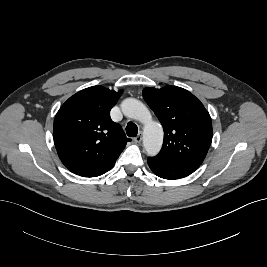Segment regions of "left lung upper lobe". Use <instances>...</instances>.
Here are the masks:
<instances>
[{"mask_svg": "<svg viewBox=\"0 0 267 267\" xmlns=\"http://www.w3.org/2000/svg\"><path fill=\"white\" fill-rule=\"evenodd\" d=\"M142 94L164 129L162 149L152 158L198 168L212 141V122L203 104L176 86L145 88Z\"/></svg>", "mask_w": 267, "mask_h": 267, "instance_id": "5c2ea615", "label": "left lung upper lobe"}]
</instances>
